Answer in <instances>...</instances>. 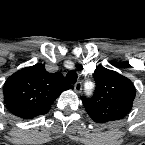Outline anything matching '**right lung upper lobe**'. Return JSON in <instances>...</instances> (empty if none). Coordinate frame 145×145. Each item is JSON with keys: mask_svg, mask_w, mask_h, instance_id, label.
Returning <instances> with one entry per match:
<instances>
[{"mask_svg": "<svg viewBox=\"0 0 145 145\" xmlns=\"http://www.w3.org/2000/svg\"><path fill=\"white\" fill-rule=\"evenodd\" d=\"M72 88L60 72L48 73L43 64L26 67L11 75L3 87L8 110L23 119L46 114L54 100Z\"/></svg>", "mask_w": 145, "mask_h": 145, "instance_id": "cb5924a9", "label": "right lung upper lobe"}]
</instances>
